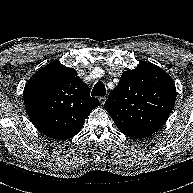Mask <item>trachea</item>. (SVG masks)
Wrapping results in <instances>:
<instances>
[{"mask_svg":"<svg viewBox=\"0 0 193 193\" xmlns=\"http://www.w3.org/2000/svg\"><path fill=\"white\" fill-rule=\"evenodd\" d=\"M91 94H92V96H101V97L105 96V94H106L105 85H104L102 82L98 81V82L94 85Z\"/></svg>","mask_w":193,"mask_h":193,"instance_id":"3493384b","label":"trachea"}]
</instances>
